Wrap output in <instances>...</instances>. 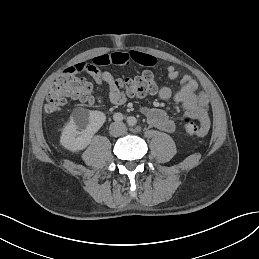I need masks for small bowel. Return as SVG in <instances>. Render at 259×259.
<instances>
[{
    "instance_id": "obj_1",
    "label": "small bowel",
    "mask_w": 259,
    "mask_h": 259,
    "mask_svg": "<svg viewBox=\"0 0 259 259\" xmlns=\"http://www.w3.org/2000/svg\"><path fill=\"white\" fill-rule=\"evenodd\" d=\"M137 63L147 67H153L157 64V59L146 53L130 52H113L96 57L93 63L80 62L66 69L68 73L86 72L95 82L102 86L107 83L112 86L115 78L108 70H101L102 65H130ZM167 74L170 80L179 81L181 87L177 92H173L169 87L163 86L157 94L162 100H173L183 106L184 117L197 119L200 122L199 136L207 133L210 127L208 116L209 98L206 93L198 92L197 82L189 75L180 76L179 71L174 66H168ZM127 98L114 99L111 101L115 105H121L127 101ZM142 113L146 116L150 125L164 132L172 133L177 129L178 122L171 119L164 110L155 107H143Z\"/></svg>"
}]
</instances>
